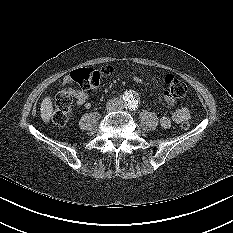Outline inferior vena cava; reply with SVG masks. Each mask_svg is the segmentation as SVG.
<instances>
[{
  "mask_svg": "<svg viewBox=\"0 0 233 233\" xmlns=\"http://www.w3.org/2000/svg\"><path fill=\"white\" fill-rule=\"evenodd\" d=\"M123 107V104L121 103V101L119 100H110L108 103H107V109L109 111H116V110H121Z\"/></svg>",
  "mask_w": 233,
  "mask_h": 233,
  "instance_id": "inferior-vena-cava-1",
  "label": "inferior vena cava"
}]
</instances>
